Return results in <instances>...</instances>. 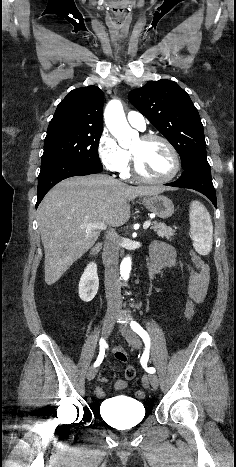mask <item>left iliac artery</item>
Segmentation results:
<instances>
[{"mask_svg":"<svg viewBox=\"0 0 236 467\" xmlns=\"http://www.w3.org/2000/svg\"><path fill=\"white\" fill-rule=\"evenodd\" d=\"M132 330L134 332H136L143 340L144 344H145V352L143 354V357H142V366L143 368L149 372V373H155V368L153 367H149L147 368V361H148V358H149V349H150V337L148 335V333L140 326L139 323H137L136 321H132L131 324H130Z\"/></svg>","mask_w":236,"mask_h":467,"instance_id":"obj_1","label":"left iliac artery"}]
</instances>
